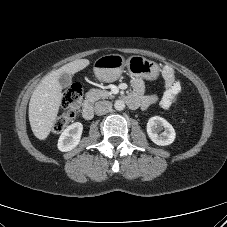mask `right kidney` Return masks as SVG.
Returning <instances> with one entry per match:
<instances>
[{"instance_id": "right-kidney-1", "label": "right kidney", "mask_w": 227, "mask_h": 227, "mask_svg": "<svg viewBox=\"0 0 227 227\" xmlns=\"http://www.w3.org/2000/svg\"><path fill=\"white\" fill-rule=\"evenodd\" d=\"M83 125L76 122L68 126L60 135L57 147L62 152L71 151L80 142Z\"/></svg>"}]
</instances>
